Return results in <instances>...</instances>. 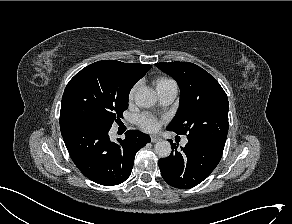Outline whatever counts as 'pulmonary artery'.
<instances>
[{
  "label": "pulmonary artery",
  "mask_w": 292,
  "mask_h": 224,
  "mask_svg": "<svg viewBox=\"0 0 292 224\" xmlns=\"http://www.w3.org/2000/svg\"><path fill=\"white\" fill-rule=\"evenodd\" d=\"M160 104L163 106L170 105L176 98L178 87L175 83L167 84L157 89ZM187 143V139L183 140V144Z\"/></svg>",
  "instance_id": "e3ab8cb5"
}]
</instances>
